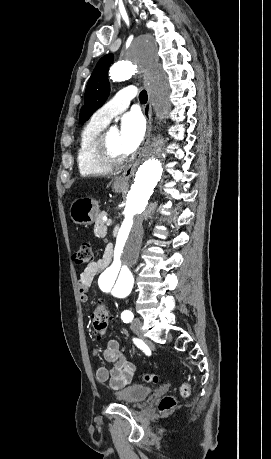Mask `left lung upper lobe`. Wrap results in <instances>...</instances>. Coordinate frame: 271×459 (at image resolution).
I'll return each mask as SVG.
<instances>
[{
  "instance_id": "1",
  "label": "left lung upper lobe",
  "mask_w": 271,
  "mask_h": 459,
  "mask_svg": "<svg viewBox=\"0 0 271 459\" xmlns=\"http://www.w3.org/2000/svg\"><path fill=\"white\" fill-rule=\"evenodd\" d=\"M112 62L113 55L109 54L102 57L97 63L86 87L84 106L79 115L81 122L88 120L107 100L110 93L108 69Z\"/></svg>"
}]
</instances>
